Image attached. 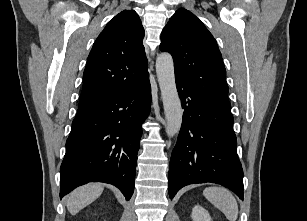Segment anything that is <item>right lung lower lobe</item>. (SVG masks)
<instances>
[{
	"instance_id": "98d812e1",
	"label": "right lung lower lobe",
	"mask_w": 307,
	"mask_h": 221,
	"mask_svg": "<svg viewBox=\"0 0 307 221\" xmlns=\"http://www.w3.org/2000/svg\"><path fill=\"white\" fill-rule=\"evenodd\" d=\"M148 78L130 91L77 111L60 168V198L88 182L115 185L131 198L141 125L150 111Z\"/></svg>"
}]
</instances>
